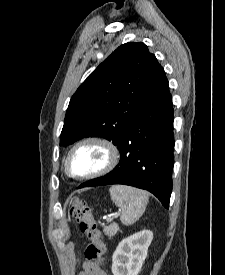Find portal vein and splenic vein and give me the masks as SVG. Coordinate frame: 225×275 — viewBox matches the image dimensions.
<instances>
[{
    "instance_id": "18ae733b",
    "label": "portal vein and splenic vein",
    "mask_w": 225,
    "mask_h": 275,
    "mask_svg": "<svg viewBox=\"0 0 225 275\" xmlns=\"http://www.w3.org/2000/svg\"><path fill=\"white\" fill-rule=\"evenodd\" d=\"M118 215H114V217L113 218H115V217H117Z\"/></svg>"
}]
</instances>
